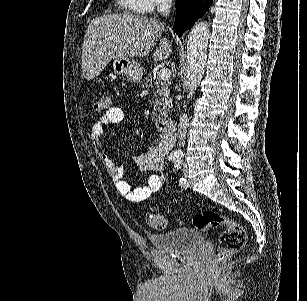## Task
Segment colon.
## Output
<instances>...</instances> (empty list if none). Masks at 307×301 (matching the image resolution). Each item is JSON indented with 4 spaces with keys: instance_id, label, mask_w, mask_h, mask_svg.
<instances>
[{
    "instance_id": "1",
    "label": "colon",
    "mask_w": 307,
    "mask_h": 301,
    "mask_svg": "<svg viewBox=\"0 0 307 301\" xmlns=\"http://www.w3.org/2000/svg\"><path fill=\"white\" fill-rule=\"evenodd\" d=\"M111 107L112 101L109 94L101 92L94 104V109L98 112H107ZM145 220L155 230H163L167 225L165 217L155 210H149L145 214ZM192 222L199 231H209L224 227L218 239L217 263L226 261L245 245L247 234L244 226L214 210H205L196 214Z\"/></svg>"
}]
</instances>
